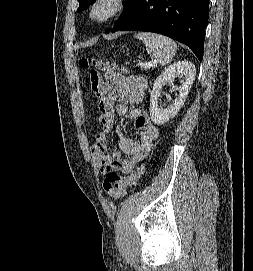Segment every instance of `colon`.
<instances>
[{
    "label": "colon",
    "instance_id": "colon-1",
    "mask_svg": "<svg viewBox=\"0 0 253 271\" xmlns=\"http://www.w3.org/2000/svg\"><path fill=\"white\" fill-rule=\"evenodd\" d=\"M80 65L84 69H89L91 67L96 68L102 71H109V70H122V67H119L116 64H110L100 58L97 57H84L80 61ZM99 74L95 71L90 73V87L93 93L99 94L102 88V84L99 80ZM143 174V167L140 166L136 171L132 172L128 176L119 175L116 173H110L106 180L103 182V189L104 191L114 199L122 198L127 189L133 186L142 176Z\"/></svg>",
    "mask_w": 253,
    "mask_h": 271
}]
</instances>
